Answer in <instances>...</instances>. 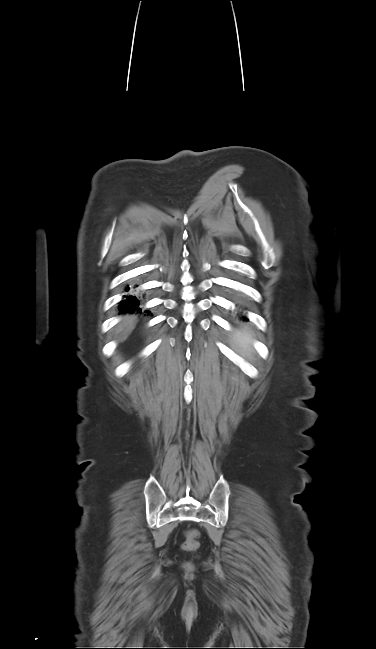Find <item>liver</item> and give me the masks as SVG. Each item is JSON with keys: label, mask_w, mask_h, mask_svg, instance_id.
<instances>
[{"label": "liver", "mask_w": 376, "mask_h": 649, "mask_svg": "<svg viewBox=\"0 0 376 649\" xmlns=\"http://www.w3.org/2000/svg\"><path fill=\"white\" fill-rule=\"evenodd\" d=\"M135 319L136 317L133 315L127 316L124 319L123 323L119 325L116 332L121 334L120 335L121 340H125L127 336L130 334V332L133 330Z\"/></svg>", "instance_id": "obj_1"}]
</instances>
